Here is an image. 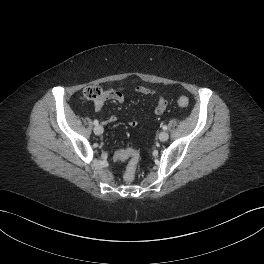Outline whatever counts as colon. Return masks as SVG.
Segmentation results:
<instances>
[{
    "instance_id": "colon-1",
    "label": "colon",
    "mask_w": 264,
    "mask_h": 264,
    "mask_svg": "<svg viewBox=\"0 0 264 264\" xmlns=\"http://www.w3.org/2000/svg\"><path fill=\"white\" fill-rule=\"evenodd\" d=\"M103 94L104 91L98 86H89L84 90V97L90 101L100 99ZM177 103L181 107H187L189 105V99L185 96H181L177 99ZM119 157L128 160L124 178L127 182H132L135 178L140 159L138 151L132 148L124 149L119 152Z\"/></svg>"
}]
</instances>
